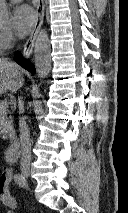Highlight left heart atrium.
Wrapping results in <instances>:
<instances>
[{
    "mask_svg": "<svg viewBox=\"0 0 128 213\" xmlns=\"http://www.w3.org/2000/svg\"><path fill=\"white\" fill-rule=\"evenodd\" d=\"M34 23L35 15L29 6L20 5L14 8L12 12V27L18 37H25L32 29Z\"/></svg>",
    "mask_w": 128,
    "mask_h": 213,
    "instance_id": "obj_1",
    "label": "left heart atrium"
}]
</instances>
